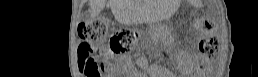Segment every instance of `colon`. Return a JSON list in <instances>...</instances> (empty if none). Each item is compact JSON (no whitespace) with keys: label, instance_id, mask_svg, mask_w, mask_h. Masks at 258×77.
<instances>
[{"label":"colon","instance_id":"colon-1","mask_svg":"<svg viewBox=\"0 0 258 77\" xmlns=\"http://www.w3.org/2000/svg\"><path fill=\"white\" fill-rule=\"evenodd\" d=\"M201 36L198 41L200 53L208 59L218 55L219 41L214 32V25L208 20H200L197 24ZM82 43L78 49V59L81 69L87 77H97L100 67L95 59L97 51L108 44L113 52L128 50L136 40L132 30L123 29L109 35L108 22L98 18L85 23L80 29Z\"/></svg>","mask_w":258,"mask_h":77}]
</instances>
